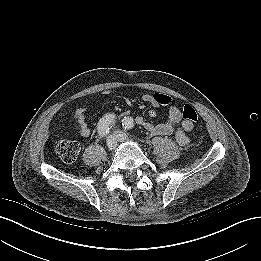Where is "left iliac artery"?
<instances>
[{
    "mask_svg": "<svg viewBox=\"0 0 261 261\" xmlns=\"http://www.w3.org/2000/svg\"><path fill=\"white\" fill-rule=\"evenodd\" d=\"M122 126L125 130H130L132 129V127L134 126V123H133V119L129 118V117H125L123 120H122Z\"/></svg>",
    "mask_w": 261,
    "mask_h": 261,
    "instance_id": "44dca946",
    "label": "left iliac artery"
}]
</instances>
